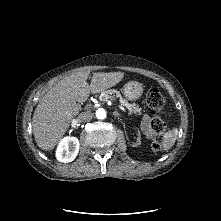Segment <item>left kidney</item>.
<instances>
[{"label":"left kidney","instance_id":"obj_1","mask_svg":"<svg viewBox=\"0 0 221 221\" xmlns=\"http://www.w3.org/2000/svg\"><path fill=\"white\" fill-rule=\"evenodd\" d=\"M141 144V141H140V137L137 138V143L135 144V146H139Z\"/></svg>","mask_w":221,"mask_h":221}]
</instances>
